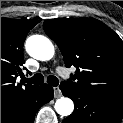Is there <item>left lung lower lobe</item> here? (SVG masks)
Masks as SVG:
<instances>
[{
    "label": "left lung lower lobe",
    "instance_id": "left-lung-lower-lobe-1",
    "mask_svg": "<svg viewBox=\"0 0 123 123\" xmlns=\"http://www.w3.org/2000/svg\"><path fill=\"white\" fill-rule=\"evenodd\" d=\"M64 96L74 101V112L62 123H120L123 118V103L98 97L77 90L62 82L59 86Z\"/></svg>",
    "mask_w": 123,
    "mask_h": 123
}]
</instances>
